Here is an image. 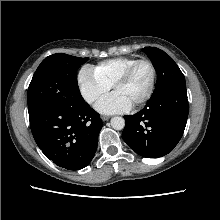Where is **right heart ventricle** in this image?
Segmentation results:
<instances>
[{
  "instance_id": "obj_1",
  "label": "right heart ventricle",
  "mask_w": 220,
  "mask_h": 220,
  "mask_svg": "<svg viewBox=\"0 0 220 220\" xmlns=\"http://www.w3.org/2000/svg\"><path fill=\"white\" fill-rule=\"evenodd\" d=\"M137 60L138 58L136 57H115L100 62L93 67V71L101 81L112 87L127 68Z\"/></svg>"
}]
</instances>
